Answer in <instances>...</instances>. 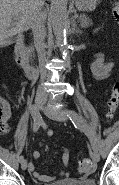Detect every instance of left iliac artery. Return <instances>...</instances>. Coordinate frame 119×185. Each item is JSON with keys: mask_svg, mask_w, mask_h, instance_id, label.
I'll use <instances>...</instances> for the list:
<instances>
[{"mask_svg": "<svg viewBox=\"0 0 119 185\" xmlns=\"http://www.w3.org/2000/svg\"><path fill=\"white\" fill-rule=\"evenodd\" d=\"M66 113H67V116L72 121L75 128L83 131L89 137L92 147L96 148V145L91 139L89 129H88L86 123L84 122V120L74 110H68V111H66Z\"/></svg>", "mask_w": 119, "mask_h": 185, "instance_id": "left-iliac-artery-1", "label": "left iliac artery"}]
</instances>
